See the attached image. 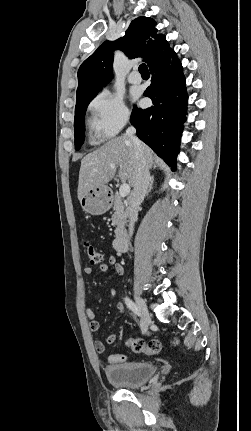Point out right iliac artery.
I'll use <instances>...</instances> for the list:
<instances>
[{"mask_svg":"<svg viewBox=\"0 0 251 431\" xmlns=\"http://www.w3.org/2000/svg\"><path fill=\"white\" fill-rule=\"evenodd\" d=\"M126 305L128 306V308L137 316H141V311L139 309V307L133 303L128 297L124 298Z\"/></svg>","mask_w":251,"mask_h":431,"instance_id":"82829eb1","label":"right iliac artery"}]
</instances>
